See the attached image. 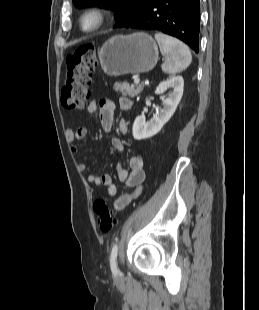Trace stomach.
<instances>
[{
    "mask_svg": "<svg viewBox=\"0 0 259 310\" xmlns=\"http://www.w3.org/2000/svg\"><path fill=\"white\" fill-rule=\"evenodd\" d=\"M158 55L156 42L145 33L113 36L99 51L101 67L111 77L148 72L155 67Z\"/></svg>",
    "mask_w": 259,
    "mask_h": 310,
    "instance_id": "obj_1",
    "label": "stomach"
}]
</instances>
